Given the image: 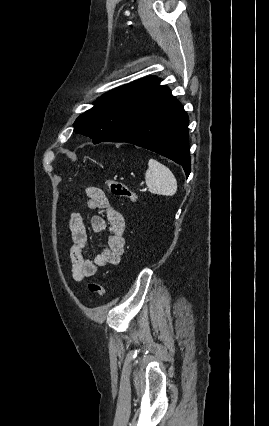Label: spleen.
Instances as JSON below:
<instances>
[{"instance_id":"1","label":"spleen","mask_w":269,"mask_h":426,"mask_svg":"<svg viewBox=\"0 0 269 426\" xmlns=\"http://www.w3.org/2000/svg\"><path fill=\"white\" fill-rule=\"evenodd\" d=\"M145 181L153 194L173 196L177 191V181L173 173L155 159L148 162Z\"/></svg>"}]
</instances>
